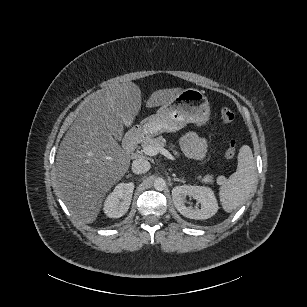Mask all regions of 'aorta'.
I'll return each mask as SVG.
<instances>
[{"mask_svg":"<svg viewBox=\"0 0 307 307\" xmlns=\"http://www.w3.org/2000/svg\"><path fill=\"white\" fill-rule=\"evenodd\" d=\"M154 187L157 190H163L166 187V180L163 177H157L154 180Z\"/></svg>","mask_w":307,"mask_h":307,"instance_id":"aorta-1","label":"aorta"}]
</instances>
